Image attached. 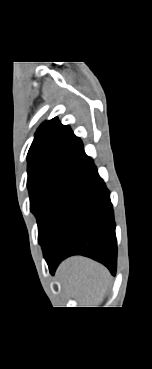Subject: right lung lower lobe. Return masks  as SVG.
Here are the masks:
<instances>
[{"label":"right lung lower lobe","mask_w":152,"mask_h":369,"mask_svg":"<svg viewBox=\"0 0 152 369\" xmlns=\"http://www.w3.org/2000/svg\"><path fill=\"white\" fill-rule=\"evenodd\" d=\"M49 270L71 255H84L115 275L117 241L110 193L91 158L81 164L54 212L41 243Z\"/></svg>","instance_id":"1"}]
</instances>
